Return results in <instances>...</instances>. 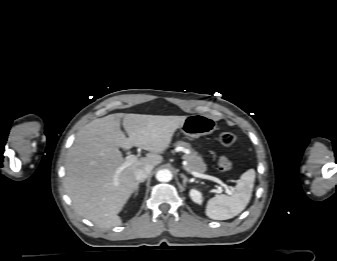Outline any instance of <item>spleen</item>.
<instances>
[{"mask_svg":"<svg viewBox=\"0 0 337 261\" xmlns=\"http://www.w3.org/2000/svg\"><path fill=\"white\" fill-rule=\"evenodd\" d=\"M255 170L249 169L244 172L232 195H218L208 200L206 215L214 220H227L237 216L248 205L255 181Z\"/></svg>","mask_w":337,"mask_h":261,"instance_id":"spleen-1","label":"spleen"}]
</instances>
